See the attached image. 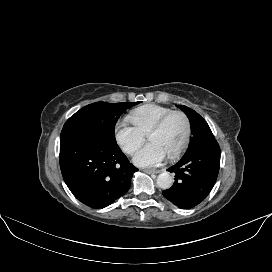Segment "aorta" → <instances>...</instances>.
Segmentation results:
<instances>
[{
    "mask_svg": "<svg viewBox=\"0 0 272 272\" xmlns=\"http://www.w3.org/2000/svg\"><path fill=\"white\" fill-rule=\"evenodd\" d=\"M156 183L161 189H169L173 184V177L168 172H163L158 175Z\"/></svg>",
    "mask_w": 272,
    "mask_h": 272,
    "instance_id": "762f6f07",
    "label": "aorta"
}]
</instances>
